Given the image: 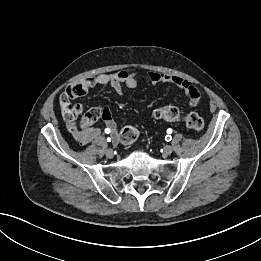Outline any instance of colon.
Listing matches in <instances>:
<instances>
[{"instance_id":"obj_1","label":"colon","mask_w":261,"mask_h":261,"mask_svg":"<svg viewBox=\"0 0 261 261\" xmlns=\"http://www.w3.org/2000/svg\"><path fill=\"white\" fill-rule=\"evenodd\" d=\"M84 86L82 82H76L70 85L66 91L60 97V104L62 108L68 109L66 114L68 119L75 118L83 111L82 106L77 105L73 108L69 107L70 100L76 99L84 95ZM88 122H95L99 118H103V113L99 107H93L84 113ZM154 117L159 120H165L168 122H175L182 120L186 126L192 130L200 131L204 128L203 118L195 113H189L182 116L179 110L174 106H165L155 110ZM139 137V131L136 127L128 125L125 126L119 135L120 141L124 144H132Z\"/></svg>"}]
</instances>
